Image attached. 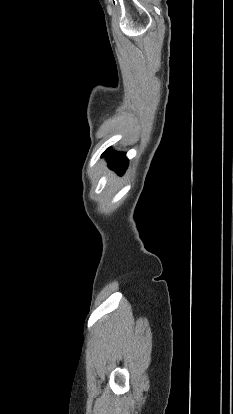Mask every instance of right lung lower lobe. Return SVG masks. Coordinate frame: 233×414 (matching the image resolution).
Segmentation results:
<instances>
[{"mask_svg": "<svg viewBox=\"0 0 233 414\" xmlns=\"http://www.w3.org/2000/svg\"><path fill=\"white\" fill-rule=\"evenodd\" d=\"M103 156L108 157L110 168L115 170L118 175H122L125 172L128 166V159L125 153H114L109 148L103 153Z\"/></svg>", "mask_w": 233, "mask_h": 414, "instance_id": "1", "label": "right lung lower lobe"}]
</instances>
